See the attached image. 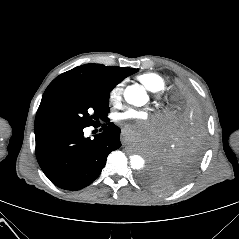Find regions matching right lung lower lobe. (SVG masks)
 I'll return each instance as SVG.
<instances>
[{
    "label": "right lung lower lobe",
    "instance_id": "right-lung-lower-lobe-1",
    "mask_svg": "<svg viewBox=\"0 0 239 239\" xmlns=\"http://www.w3.org/2000/svg\"><path fill=\"white\" fill-rule=\"evenodd\" d=\"M85 127L35 129L37 161L56 186L79 190L101 173L108 154L121 146L120 128L112 122L102 125V133L85 138Z\"/></svg>",
    "mask_w": 239,
    "mask_h": 239
}]
</instances>
